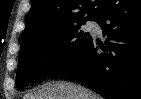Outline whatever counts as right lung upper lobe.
<instances>
[{"mask_svg":"<svg viewBox=\"0 0 141 99\" xmlns=\"http://www.w3.org/2000/svg\"><path fill=\"white\" fill-rule=\"evenodd\" d=\"M114 0H32L21 45L47 34L96 20Z\"/></svg>","mask_w":141,"mask_h":99,"instance_id":"obj_1","label":"right lung upper lobe"}]
</instances>
